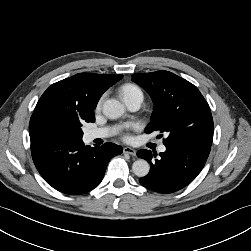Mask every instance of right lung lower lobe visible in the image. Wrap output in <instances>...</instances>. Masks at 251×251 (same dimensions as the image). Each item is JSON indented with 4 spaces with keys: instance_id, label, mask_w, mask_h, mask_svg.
Here are the masks:
<instances>
[{
    "instance_id": "98d812e1",
    "label": "right lung lower lobe",
    "mask_w": 251,
    "mask_h": 251,
    "mask_svg": "<svg viewBox=\"0 0 251 251\" xmlns=\"http://www.w3.org/2000/svg\"><path fill=\"white\" fill-rule=\"evenodd\" d=\"M34 164L54 189L70 195L84 194L102 181L109 161L122 153L113 143L85 146L82 139L31 144Z\"/></svg>"
}]
</instances>
